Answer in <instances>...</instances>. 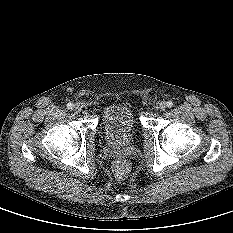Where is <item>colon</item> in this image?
Instances as JSON below:
<instances>
[{
  "instance_id": "colon-1",
  "label": "colon",
  "mask_w": 233,
  "mask_h": 233,
  "mask_svg": "<svg viewBox=\"0 0 233 233\" xmlns=\"http://www.w3.org/2000/svg\"><path fill=\"white\" fill-rule=\"evenodd\" d=\"M128 169H129V165L128 162L125 160H118L114 165V171L120 177L125 176L126 173L128 172Z\"/></svg>"
}]
</instances>
